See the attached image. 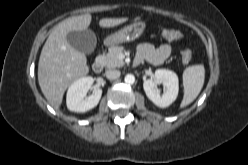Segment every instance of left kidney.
Returning <instances> with one entry per match:
<instances>
[{"instance_id": "left-kidney-1", "label": "left kidney", "mask_w": 248, "mask_h": 165, "mask_svg": "<svg viewBox=\"0 0 248 165\" xmlns=\"http://www.w3.org/2000/svg\"><path fill=\"white\" fill-rule=\"evenodd\" d=\"M162 83L166 91L160 95L157 84ZM143 88L146 96L158 107L166 108L177 98L179 91L178 76L176 73L166 69L155 71V80L148 79L144 81Z\"/></svg>"}]
</instances>
